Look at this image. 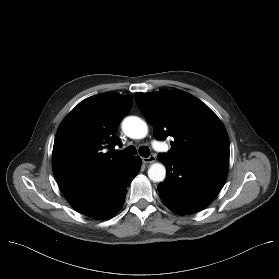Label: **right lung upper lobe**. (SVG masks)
Instances as JSON below:
<instances>
[{"label": "right lung upper lobe", "mask_w": 279, "mask_h": 279, "mask_svg": "<svg viewBox=\"0 0 279 279\" xmlns=\"http://www.w3.org/2000/svg\"><path fill=\"white\" fill-rule=\"evenodd\" d=\"M132 103L131 95H95L81 101L64 118L52 153L53 174L62 192L97 181L130 160L110 156L103 149L122 145L115 133Z\"/></svg>", "instance_id": "cb5924a9"}]
</instances>
